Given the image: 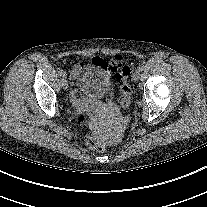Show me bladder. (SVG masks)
Wrapping results in <instances>:
<instances>
[{
  "mask_svg": "<svg viewBox=\"0 0 207 207\" xmlns=\"http://www.w3.org/2000/svg\"><path fill=\"white\" fill-rule=\"evenodd\" d=\"M76 86L85 95L100 97L108 92L109 77L102 65L93 62L78 75Z\"/></svg>",
  "mask_w": 207,
  "mask_h": 207,
  "instance_id": "obj_1",
  "label": "bladder"
}]
</instances>
